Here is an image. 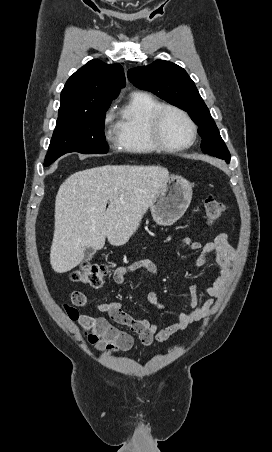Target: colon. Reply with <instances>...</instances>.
<instances>
[{"instance_id":"1","label":"colon","mask_w":272,"mask_h":452,"mask_svg":"<svg viewBox=\"0 0 272 452\" xmlns=\"http://www.w3.org/2000/svg\"><path fill=\"white\" fill-rule=\"evenodd\" d=\"M224 205L213 196L204 200V216L209 223L217 221L224 213ZM109 273L106 264L84 263L78 269L71 271L69 278L73 282H80L92 287H100L104 284Z\"/></svg>"}]
</instances>
